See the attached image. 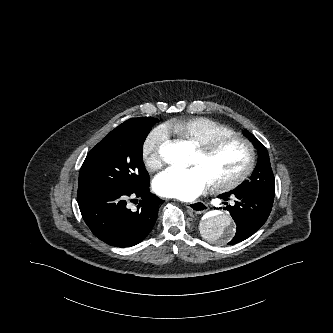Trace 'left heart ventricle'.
<instances>
[{
	"label": "left heart ventricle",
	"instance_id": "b2bd125f",
	"mask_svg": "<svg viewBox=\"0 0 333 333\" xmlns=\"http://www.w3.org/2000/svg\"><path fill=\"white\" fill-rule=\"evenodd\" d=\"M246 162V148L240 143L230 142L209 156H203L196 151L190 164L200 166L212 182L236 175L244 168Z\"/></svg>",
	"mask_w": 333,
	"mask_h": 333
}]
</instances>
